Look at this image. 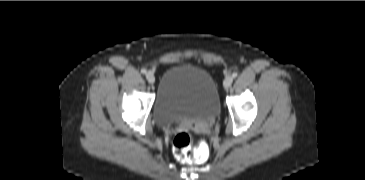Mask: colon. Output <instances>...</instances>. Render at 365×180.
<instances>
[{"mask_svg": "<svg viewBox=\"0 0 365 180\" xmlns=\"http://www.w3.org/2000/svg\"><path fill=\"white\" fill-rule=\"evenodd\" d=\"M172 148L177 159L186 164H202L210 155V149L206 143L200 142L196 146L193 145L192 135L187 130L175 135Z\"/></svg>", "mask_w": 365, "mask_h": 180, "instance_id": "5ec220e1", "label": "colon"}]
</instances>
